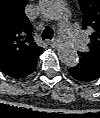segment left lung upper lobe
Listing matches in <instances>:
<instances>
[{
  "label": "left lung upper lobe",
  "instance_id": "obj_1",
  "mask_svg": "<svg viewBox=\"0 0 100 118\" xmlns=\"http://www.w3.org/2000/svg\"><path fill=\"white\" fill-rule=\"evenodd\" d=\"M78 1L83 13V29L91 31L89 51L78 54L85 61L100 67V0Z\"/></svg>",
  "mask_w": 100,
  "mask_h": 118
}]
</instances>
